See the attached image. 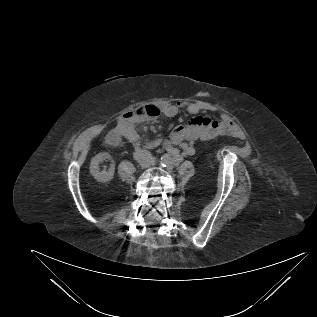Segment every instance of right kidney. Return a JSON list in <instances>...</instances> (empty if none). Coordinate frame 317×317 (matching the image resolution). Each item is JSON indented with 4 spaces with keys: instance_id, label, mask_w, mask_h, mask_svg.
<instances>
[{
    "instance_id": "1",
    "label": "right kidney",
    "mask_w": 317,
    "mask_h": 317,
    "mask_svg": "<svg viewBox=\"0 0 317 317\" xmlns=\"http://www.w3.org/2000/svg\"><path fill=\"white\" fill-rule=\"evenodd\" d=\"M104 160H110L111 164L109 169L100 171L99 164ZM115 172V165L114 161L112 160L111 156L107 152H101L95 155L91 159L90 163V173L91 175L98 181V182H107L113 178Z\"/></svg>"
}]
</instances>
